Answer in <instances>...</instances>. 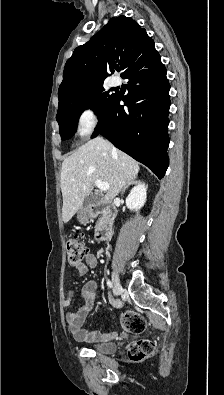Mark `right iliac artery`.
<instances>
[{
  "instance_id": "obj_1",
  "label": "right iliac artery",
  "mask_w": 224,
  "mask_h": 395,
  "mask_svg": "<svg viewBox=\"0 0 224 395\" xmlns=\"http://www.w3.org/2000/svg\"><path fill=\"white\" fill-rule=\"evenodd\" d=\"M107 286H108L109 288H112V287H113V284H112V282H111L109 279H107Z\"/></svg>"
}]
</instances>
